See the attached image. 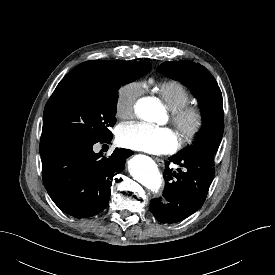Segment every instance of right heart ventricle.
<instances>
[{
    "mask_svg": "<svg viewBox=\"0 0 275 275\" xmlns=\"http://www.w3.org/2000/svg\"><path fill=\"white\" fill-rule=\"evenodd\" d=\"M154 91L171 112L179 110L192 102L189 90L182 83L175 80L158 82L154 86Z\"/></svg>",
    "mask_w": 275,
    "mask_h": 275,
    "instance_id": "e07e8e85",
    "label": "right heart ventricle"
}]
</instances>
